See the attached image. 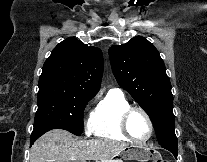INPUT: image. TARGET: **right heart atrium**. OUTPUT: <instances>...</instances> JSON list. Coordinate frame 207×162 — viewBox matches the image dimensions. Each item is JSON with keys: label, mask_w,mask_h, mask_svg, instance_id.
I'll use <instances>...</instances> for the list:
<instances>
[{"label": "right heart atrium", "mask_w": 207, "mask_h": 162, "mask_svg": "<svg viewBox=\"0 0 207 162\" xmlns=\"http://www.w3.org/2000/svg\"><path fill=\"white\" fill-rule=\"evenodd\" d=\"M90 130H91V127H90V118H89V120L87 122V131H90Z\"/></svg>", "instance_id": "right-heart-atrium-1"}]
</instances>
